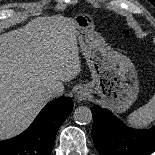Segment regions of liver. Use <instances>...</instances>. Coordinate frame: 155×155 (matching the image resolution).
<instances>
[{"label": "liver", "instance_id": "6515ba94", "mask_svg": "<svg viewBox=\"0 0 155 155\" xmlns=\"http://www.w3.org/2000/svg\"><path fill=\"white\" fill-rule=\"evenodd\" d=\"M80 71L74 19L38 17L0 35V140L30 125L48 101L46 87L64 89Z\"/></svg>", "mask_w": 155, "mask_h": 155}]
</instances>
